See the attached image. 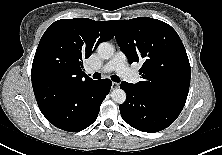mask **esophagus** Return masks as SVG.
I'll list each match as a JSON object with an SVG mask.
<instances>
[{
	"label": "esophagus",
	"mask_w": 222,
	"mask_h": 155,
	"mask_svg": "<svg viewBox=\"0 0 222 155\" xmlns=\"http://www.w3.org/2000/svg\"><path fill=\"white\" fill-rule=\"evenodd\" d=\"M119 87V84L116 82H112V89H116Z\"/></svg>",
	"instance_id": "obj_1"
}]
</instances>
